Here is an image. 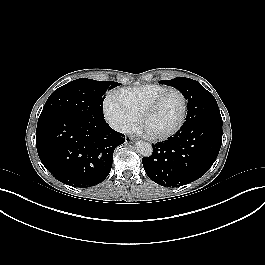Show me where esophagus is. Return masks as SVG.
Wrapping results in <instances>:
<instances>
[{"label": "esophagus", "mask_w": 265, "mask_h": 265, "mask_svg": "<svg viewBox=\"0 0 265 265\" xmlns=\"http://www.w3.org/2000/svg\"><path fill=\"white\" fill-rule=\"evenodd\" d=\"M130 140H132V141H135V140H137L134 136H131L130 137Z\"/></svg>", "instance_id": "34e87169"}]
</instances>
